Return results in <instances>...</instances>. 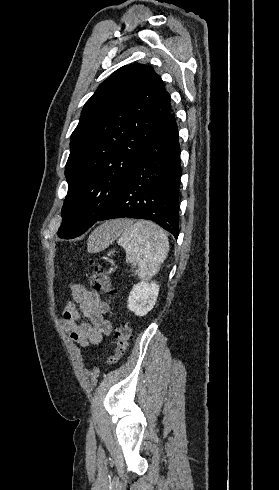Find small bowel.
<instances>
[{"mask_svg": "<svg viewBox=\"0 0 279 490\" xmlns=\"http://www.w3.org/2000/svg\"><path fill=\"white\" fill-rule=\"evenodd\" d=\"M71 293L73 300H68L65 304L61 319L62 329L82 347L99 344L103 336L112 332L111 323L104 317L110 305L98 292L88 291L80 284L71 285ZM81 316L89 322L79 323Z\"/></svg>", "mask_w": 279, "mask_h": 490, "instance_id": "c3829d8e", "label": "small bowel"}]
</instances>
